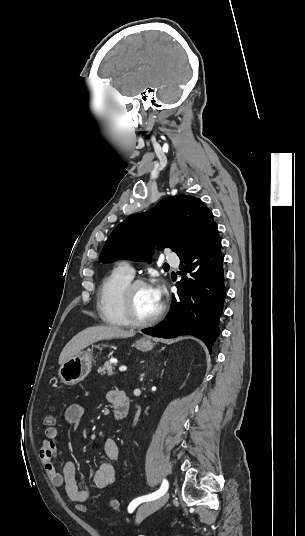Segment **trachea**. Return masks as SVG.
<instances>
[{"label":"trachea","instance_id":"3493384b","mask_svg":"<svg viewBox=\"0 0 305 536\" xmlns=\"http://www.w3.org/2000/svg\"><path fill=\"white\" fill-rule=\"evenodd\" d=\"M164 267H165L166 269H169V265H168V264H165Z\"/></svg>","mask_w":305,"mask_h":536}]
</instances>
